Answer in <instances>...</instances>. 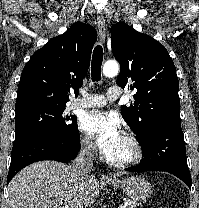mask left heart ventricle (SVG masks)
Wrapping results in <instances>:
<instances>
[{
	"instance_id": "obj_1",
	"label": "left heart ventricle",
	"mask_w": 199,
	"mask_h": 208,
	"mask_svg": "<svg viewBox=\"0 0 199 208\" xmlns=\"http://www.w3.org/2000/svg\"><path fill=\"white\" fill-rule=\"evenodd\" d=\"M134 154L132 145L125 139L124 136L113 147V149L107 154L108 157L116 160H125L131 158Z\"/></svg>"
}]
</instances>
